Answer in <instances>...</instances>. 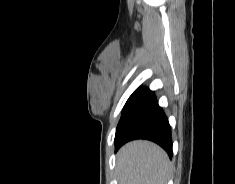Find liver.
I'll use <instances>...</instances> for the list:
<instances>
[{"instance_id": "6515ba94", "label": "liver", "mask_w": 235, "mask_h": 184, "mask_svg": "<svg viewBox=\"0 0 235 184\" xmlns=\"http://www.w3.org/2000/svg\"><path fill=\"white\" fill-rule=\"evenodd\" d=\"M116 172L119 184H168L173 170L166 152L157 144L135 140L119 150Z\"/></svg>"}]
</instances>
